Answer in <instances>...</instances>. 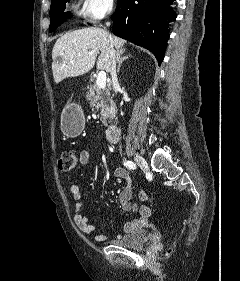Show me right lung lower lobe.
<instances>
[{"label": "right lung lower lobe", "mask_w": 240, "mask_h": 281, "mask_svg": "<svg viewBox=\"0 0 240 281\" xmlns=\"http://www.w3.org/2000/svg\"><path fill=\"white\" fill-rule=\"evenodd\" d=\"M174 0H117L112 31L115 35L150 50L163 61L168 23L176 18Z\"/></svg>", "instance_id": "1"}]
</instances>
